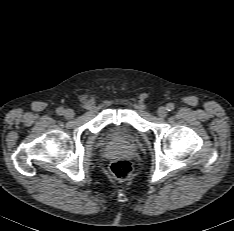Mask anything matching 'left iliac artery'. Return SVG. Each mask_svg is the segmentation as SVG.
<instances>
[{
	"mask_svg": "<svg viewBox=\"0 0 234 231\" xmlns=\"http://www.w3.org/2000/svg\"><path fill=\"white\" fill-rule=\"evenodd\" d=\"M173 109H174V105L173 104L170 103V104L167 105V110L168 111H172Z\"/></svg>",
	"mask_w": 234,
	"mask_h": 231,
	"instance_id": "left-iliac-artery-1",
	"label": "left iliac artery"
}]
</instances>
